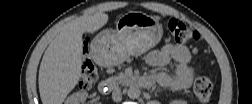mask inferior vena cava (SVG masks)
<instances>
[{"instance_id": "inferior-vena-cava-1", "label": "inferior vena cava", "mask_w": 252, "mask_h": 104, "mask_svg": "<svg viewBox=\"0 0 252 104\" xmlns=\"http://www.w3.org/2000/svg\"><path fill=\"white\" fill-rule=\"evenodd\" d=\"M112 99L115 102H120L122 100V93L119 88H115L112 92Z\"/></svg>"}]
</instances>
